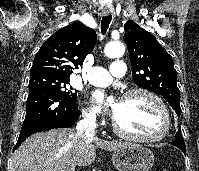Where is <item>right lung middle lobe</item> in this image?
I'll return each instance as SVG.
<instances>
[{
	"label": "right lung middle lobe",
	"mask_w": 199,
	"mask_h": 171,
	"mask_svg": "<svg viewBox=\"0 0 199 171\" xmlns=\"http://www.w3.org/2000/svg\"><path fill=\"white\" fill-rule=\"evenodd\" d=\"M69 83L68 78H61L58 76L40 74L35 76H30L29 81V91L35 89H50L55 93L59 94L64 99L76 104L77 93H73L72 87L67 86Z\"/></svg>",
	"instance_id": "dd1d6c3e"
}]
</instances>
